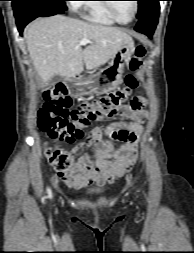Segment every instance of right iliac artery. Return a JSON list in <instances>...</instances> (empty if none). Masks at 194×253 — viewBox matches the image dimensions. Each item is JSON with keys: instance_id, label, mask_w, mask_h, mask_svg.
<instances>
[{"instance_id": "obj_1", "label": "right iliac artery", "mask_w": 194, "mask_h": 253, "mask_svg": "<svg viewBox=\"0 0 194 253\" xmlns=\"http://www.w3.org/2000/svg\"><path fill=\"white\" fill-rule=\"evenodd\" d=\"M47 192H48V197H49V198H52V192H51V189H50V188H47Z\"/></svg>"}]
</instances>
